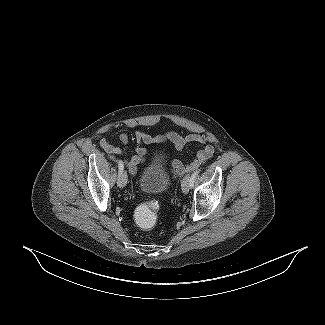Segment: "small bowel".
Masks as SVG:
<instances>
[{"instance_id": "small-bowel-1", "label": "small bowel", "mask_w": 325, "mask_h": 325, "mask_svg": "<svg viewBox=\"0 0 325 325\" xmlns=\"http://www.w3.org/2000/svg\"><path fill=\"white\" fill-rule=\"evenodd\" d=\"M120 140L123 144H127L129 141L128 134L125 132L121 133ZM135 140L137 142L136 154L130 156L125 161L131 175H136L137 166L147 160L148 151L143 147V144L165 141L173 143L179 150H182L188 143L204 144V147L197 153L195 159L191 163L183 165L177 160L171 162L172 168L179 174H183L189 170H194L213 155V147L207 143V138L200 134L181 137L174 132H169L161 136H152L143 131H137L135 133ZM100 146L112 158L121 152L120 148L108 139H102L100 141Z\"/></svg>"}]
</instances>
